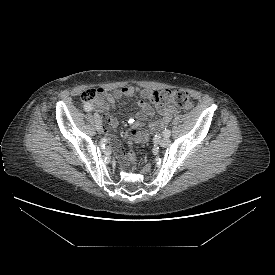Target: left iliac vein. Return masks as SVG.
<instances>
[{
    "instance_id": "left-iliac-vein-1",
    "label": "left iliac vein",
    "mask_w": 275,
    "mask_h": 275,
    "mask_svg": "<svg viewBox=\"0 0 275 275\" xmlns=\"http://www.w3.org/2000/svg\"><path fill=\"white\" fill-rule=\"evenodd\" d=\"M170 139L168 137H163L160 141H159V144L162 146V147H167L169 146L170 144Z\"/></svg>"
}]
</instances>
